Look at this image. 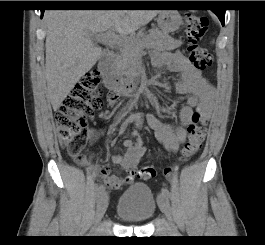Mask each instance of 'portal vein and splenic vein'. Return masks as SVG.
Here are the masks:
<instances>
[{
  "instance_id": "18ae733b",
  "label": "portal vein and splenic vein",
  "mask_w": 265,
  "mask_h": 245,
  "mask_svg": "<svg viewBox=\"0 0 265 245\" xmlns=\"http://www.w3.org/2000/svg\"><path fill=\"white\" fill-rule=\"evenodd\" d=\"M93 36L98 42H102L105 44L124 45V44H128L131 42V39L123 35H116L112 30H108L106 32H102L99 34H94Z\"/></svg>"
}]
</instances>
